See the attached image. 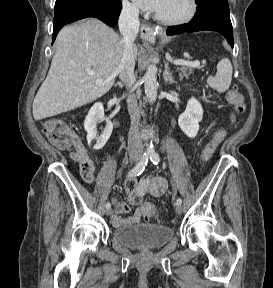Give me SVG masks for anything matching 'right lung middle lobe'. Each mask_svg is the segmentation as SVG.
I'll return each mask as SVG.
<instances>
[{
  "instance_id": "right-lung-middle-lobe-1",
  "label": "right lung middle lobe",
  "mask_w": 273,
  "mask_h": 288,
  "mask_svg": "<svg viewBox=\"0 0 273 288\" xmlns=\"http://www.w3.org/2000/svg\"><path fill=\"white\" fill-rule=\"evenodd\" d=\"M90 1H96L104 5H112L114 2L118 0H56L55 6L67 4V3H85V2H90Z\"/></svg>"
}]
</instances>
